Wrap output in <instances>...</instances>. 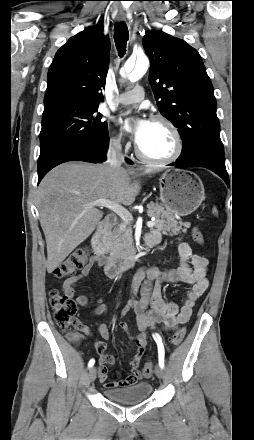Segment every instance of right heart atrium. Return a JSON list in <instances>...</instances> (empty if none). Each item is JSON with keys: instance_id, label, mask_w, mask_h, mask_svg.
Listing matches in <instances>:
<instances>
[{"instance_id": "right-heart-atrium-1", "label": "right heart atrium", "mask_w": 254, "mask_h": 440, "mask_svg": "<svg viewBox=\"0 0 254 440\" xmlns=\"http://www.w3.org/2000/svg\"><path fill=\"white\" fill-rule=\"evenodd\" d=\"M109 144L114 150H121L124 147V141L120 134L111 136Z\"/></svg>"}]
</instances>
